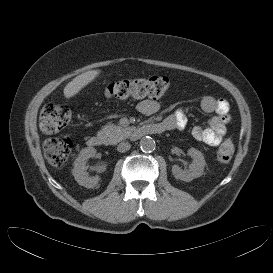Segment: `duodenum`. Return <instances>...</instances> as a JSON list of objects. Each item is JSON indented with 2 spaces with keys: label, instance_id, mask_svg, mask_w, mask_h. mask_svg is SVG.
Segmentation results:
<instances>
[{
  "label": "duodenum",
  "instance_id": "1",
  "mask_svg": "<svg viewBox=\"0 0 273 273\" xmlns=\"http://www.w3.org/2000/svg\"><path fill=\"white\" fill-rule=\"evenodd\" d=\"M167 130V127L162 123L143 124L136 126L133 132V138H142L148 134H161ZM87 143L92 147H101L106 143V138L103 134H95L88 138Z\"/></svg>",
  "mask_w": 273,
  "mask_h": 273
}]
</instances>
